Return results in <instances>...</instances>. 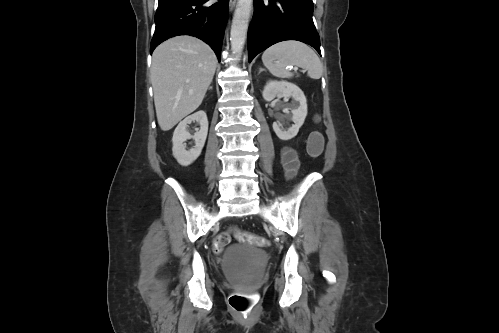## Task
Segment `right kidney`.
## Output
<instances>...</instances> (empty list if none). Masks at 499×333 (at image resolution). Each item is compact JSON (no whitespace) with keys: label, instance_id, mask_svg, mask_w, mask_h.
<instances>
[{"label":"right kidney","instance_id":"ca27d5eb","mask_svg":"<svg viewBox=\"0 0 499 333\" xmlns=\"http://www.w3.org/2000/svg\"><path fill=\"white\" fill-rule=\"evenodd\" d=\"M200 124V130L193 136L187 131L188 124L192 122ZM208 133V119L204 111H198L181 121L173 133V156L182 166H188L193 163L201 154ZM193 139L195 146L190 150H186L185 141Z\"/></svg>","mask_w":499,"mask_h":333}]
</instances>
